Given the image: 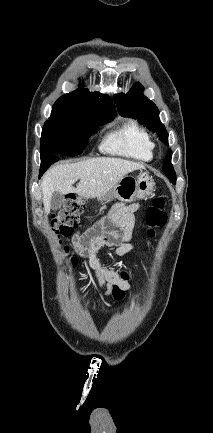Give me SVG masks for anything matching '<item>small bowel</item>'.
<instances>
[{
  "label": "small bowel",
  "mask_w": 213,
  "mask_h": 433,
  "mask_svg": "<svg viewBox=\"0 0 213 433\" xmlns=\"http://www.w3.org/2000/svg\"><path fill=\"white\" fill-rule=\"evenodd\" d=\"M136 204H117L109 216L82 231L75 232L71 242L75 252L86 260L87 267L95 272L97 283L105 284L110 294L115 288L128 290L130 285L112 269L104 267L97 258L98 251L104 246L114 247L116 256H124L134 249L131 242L136 224L134 213Z\"/></svg>",
  "instance_id": "1"
}]
</instances>
